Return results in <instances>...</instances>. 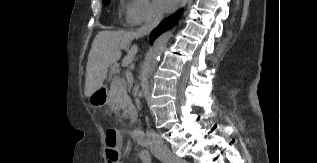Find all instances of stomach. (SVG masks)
<instances>
[{
	"label": "stomach",
	"mask_w": 317,
	"mask_h": 163,
	"mask_svg": "<svg viewBox=\"0 0 317 163\" xmlns=\"http://www.w3.org/2000/svg\"><path fill=\"white\" fill-rule=\"evenodd\" d=\"M89 104L94 108L103 107L109 103V95L105 88H100L96 90L88 98Z\"/></svg>",
	"instance_id": "1"
}]
</instances>
